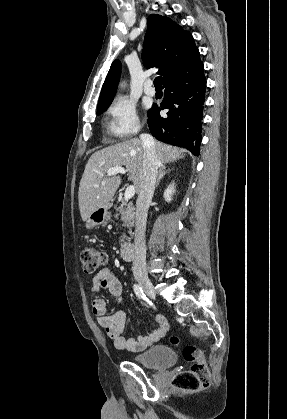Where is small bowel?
Masks as SVG:
<instances>
[{
  "label": "small bowel",
  "instance_id": "c3829d8e",
  "mask_svg": "<svg viewBox=\"0 0 287 419\" xmlns=\"http://www.w3.org/2000/svg\"><path fill=\"white\" fill-rule=\"evenodd\" d=\"M100 288L108 290L116 299L121 302L122 285L119 278L109 267L99 270L92 278L91 292L97 293ZM107 305L104 299L95 298L92 301V312L98 324L106 331L113 341L115 348L132 352H141L153 343L163 338L168 330L169 323L163 315L156 317V328L139 338H125L122 333L126 326V315L122 311H117L111 315L106 314Z\"/></svg>",
  "mask_w": 287,
  "mask_h": 419
}]
</instances>
